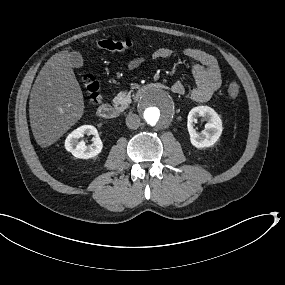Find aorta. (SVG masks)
<instances>
[{"label": "aorta", "instance_id": "1", "mask_svg": "<svg viewBox=\"0 0 285 285\" xmlns=\"http://www.w3.org/2000/svg\"><path fill=\"white\" fill-rule=\"evenodd\" d=\"M140 114L152 126H165L177 114V101L165 89H152L140 101Z\"/></svg>", "mask_w": 285, "mask_h": 285}]
</instances>
